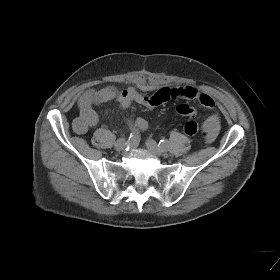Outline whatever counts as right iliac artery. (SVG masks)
<instances>
[{
    "instance_id": "obj_1",
    "label": "right iliac artery",
    "mask_w": 280,
    "mask_h": 280,
    "mask_svg": "<svg viewBox=\"0 0 280 280\" xmlns=\"http://www.w3.org/2000/svg\"><path fill=\"white\" fill-rule=\"evenodd\" d=\"M130 129L132 130V132L130 133L129 139L126 142L127 150L136 148L140 142V133L138 129H136V127L132 124Z\"/></svg>"
}]
</instances>
